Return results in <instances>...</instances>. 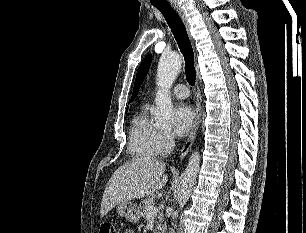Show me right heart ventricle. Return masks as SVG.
Returning a JSON list of instances; mask_svg holds the SVG:
<instances>
[{
    "label": "right heart ventricle",
    "instance_id": "obj_1",
    "mask_svg": "<svg viewBox=\"0 0 306 233\" xmlns=\"http://www.w3.org/2000/svg\"><path fill=\"white\" fill-rule=\"evenodd\" d=\"M159 130L152 123L148 108L144 106L133 118L129 132L128 152L140 160L151 159L159 154Z\"/></svg>",
    "mask_w": 306,
    "mask_h": 233
}]
</instances>
